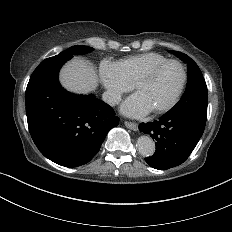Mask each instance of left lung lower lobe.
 <instances>
[{
  "label": "left lung lower lobe",
  "mask_w": 232,
  "mask_h": 232,
  "mask_svg": "<svg viewBox=\"0 0 232 232\" xmlns=\"http://www.w3.org/2000/svg\"><path fill=\"white\" fill-rule=\"evenodd\" d=\"M205 125L184 114L165 113L158 120L141 123L139 130L156 140V151L145 161L153 168L166 170L187 160Z\"/></svg>",
  "instance_id": "1"
}]
</instances>
